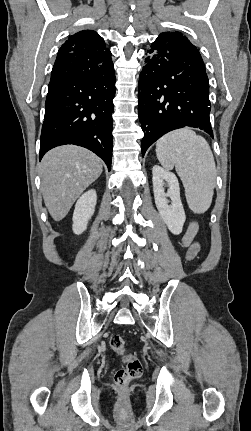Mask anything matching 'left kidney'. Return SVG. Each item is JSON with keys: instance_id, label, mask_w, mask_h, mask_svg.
Here are the masks:
<instances>
[{"instance_id": "left-kidney-1", "label": "left kidney", "mask_w": 251, "mask_h": 431, "mask_svg": "<svg viewBox=\"0 0 251 431\" xmlns=\"http://www.w3.org/2000/svg\"><path fill=\"white\" fill-rule=\"evenodd\" d=\"M152 174L155 204L159 214L170 232L174 235H179L182 232L186 216L180 198L178 179L174 173L163 169L159 165L153 166ZM165 182L169 187L167 192L164 189ZM167 197L171 200L170 205Z\"/></svg>"}]
</instances>
